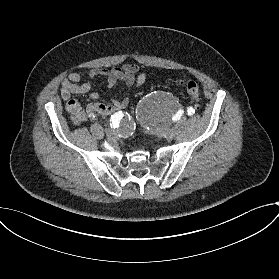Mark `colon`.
<instances>
[{
	"label": "colon",
	"instance_id": "colon-1",
	"mask_svg": "<svg viewBox=\"0 0 279 279\" xmlns=\"http://www.w3.org/2000/svg\"><path fill=\"white\" fill-rule=\"evenodd\" d=\"M180 83L184 86L186 92L194 101H199L201 98L200 87L197 82L190 79H180Z\"/></svg>",
	"mask_w": 279,
	"mask_h": 279
}]
</instances>
